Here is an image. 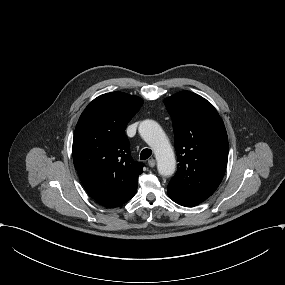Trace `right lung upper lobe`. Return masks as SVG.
I'll use <instances>...</instances> for the list:
<instances>
[{"instance_id":"right-lung-upper-lobe-1","label":"right lung upper lobe","mask_w":285,"mask_h":285,"mask_svg":"<svg viewBox=\"0 0 285 285\" xmlns=\"http://www.w3.org/2000/svg\"><path fill=\"white\" fill-rule=\"evenodd\" d=\"M143 100L122 92L95 98L83 111L75 128L73 160L90 196L113 208L136 193L144 164L130 154L125 128Z\"/></svg>"}]
</instances>
